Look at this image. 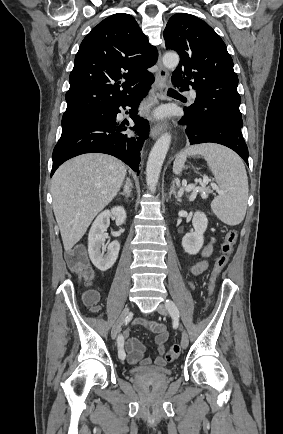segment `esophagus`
<instances>
[{
    "label": "esophagus",
    "instance_id": "esophagus-1",
    "mask_svg": "<svg viewBox=\"0 0 283 434\" xmlns=\"http://www.w3.org/2000/svg\"><path fill=\"white\" fill-rule=\"evenodd\" d=\"M157 66H158L157 78L160 83V87L163 89L168 78V72L162 64L161 55H159L158 57ZM165 128H166L165 123L154 125L151 128L150 136L153 139L157 138L165 130Z\"/></svg>",
    "mask_w": 283,
    "mask_h": 434
}]
</instances>
